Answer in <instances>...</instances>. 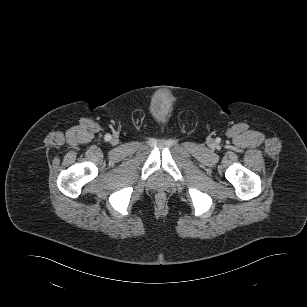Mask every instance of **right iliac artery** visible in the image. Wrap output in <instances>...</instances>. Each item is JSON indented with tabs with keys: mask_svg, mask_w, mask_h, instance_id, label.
I'll use <instances>...</instances> for the list:
<instances>
[{
	"mask_svg": "<svg viewBox=\"0 0 307 307\" xmlns=\"http://www.w3.org/2000/svg\"><path fill=\"white\" fill-rule=\"evenodd\" d=\"M111 138L110 135H106V139L109 140Z\"/></svg>",
	"mask_w": 307,
	"mask_h": 307,
	"instance_id": "right-iliac-artery-1",
	"label": "right iliac artery"
}]
</instances>
